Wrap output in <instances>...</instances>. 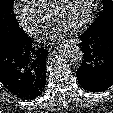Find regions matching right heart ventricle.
<instances>
[{
  "label": "right heart ventricle",
  "instance_id": "1",
  "mask_svg": "<svg viewBox=\"0 0 113 113\" xmlns=\"http://www.w3.org/2000/svg\"><path fill=\"white\" fill-rule=\"evenodd\" d=\"M53 1L54 0H25L26 4L47 16L49 15Z\"/></svg>",
  "mask_w": 113,
  "mask_h": 113
}]
</instances>
